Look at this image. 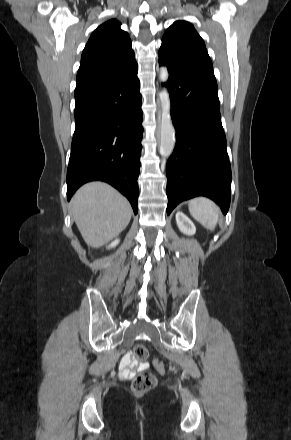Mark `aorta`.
Returning <instances> with one entry per match:
<instances>
[{
    "mask_svg": "<svg viewBox=\"0 0 291 440\" xmlns=\"http://www.w3.org/2000/svg\"><path fill=\"white\" fill-rule=\"evenodd\" d=\"M168 70L166 67H161L159 71V78L161 82L168 80ZM160 100L162 106V122H161V144L160 153L164 157H169L175 147L176 137L175 129L172 124L170 115V97L166 88H163L160 93Z\"/></svg>",
    "mask_w": 291,
    "mask_h": 440,
    "instance_id": "1",
    "label": "aorta"
}]
</instances>
